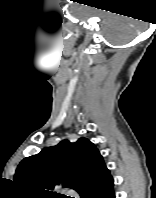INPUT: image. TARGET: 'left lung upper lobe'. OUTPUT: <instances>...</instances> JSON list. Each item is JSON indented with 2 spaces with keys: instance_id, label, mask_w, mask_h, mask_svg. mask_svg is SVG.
Returning a JSON list of instances; mask_svg holds the SVG:
<instances>
[{
  "instance_id": "1",
  "label": "left lung upper lobe",
  "mask_w": 156,
  "mask_h": 198,
  "mask_svg": "<svg viewBox=\"0 0 156 198\" xmlns=\"http://www.w3.org/2000/svg\"><path fill=\"white\" fill-rule=\"evenodd\" d=\"M107 170L96 146L82 137L76 142L63 140L24 158L17 167L14 181L26 197L62 198L55 189L68 187L81 193Z\"/></svg>"
}]
</instances>
